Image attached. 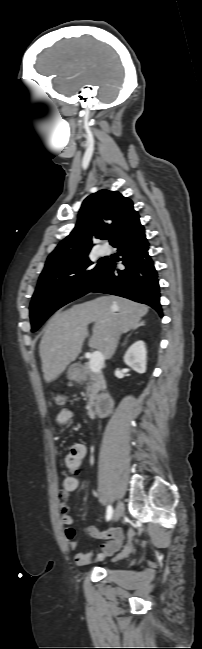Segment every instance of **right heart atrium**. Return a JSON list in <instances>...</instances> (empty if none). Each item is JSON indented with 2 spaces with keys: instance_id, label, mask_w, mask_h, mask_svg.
Wrapping results in <instances>:
<instances>
[{
  "instance_id": "obj_1",
  "label": "right heart atrium",
  "mask_w": 202,
  "mask_h": 649,
  "mask_svg": "<svg viewBox=\"0 0 202 649\" xmlns=\"http://www.w3.org/2000/svg\"><path fill=\"white\" fill-rule=\"evenodd\" d=\"M81 288H82V285L80 284V282L76 283V285L74 286V289L77 290V291L80 290Z\"/></svg>"
}]
</instances>
